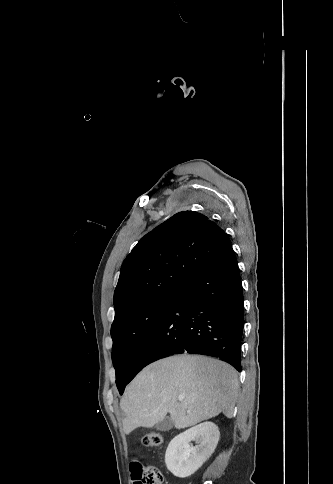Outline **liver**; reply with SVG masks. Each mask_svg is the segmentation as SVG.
I'll return each instance as SVG.
<instances>
[{
	"label": "liver",
	"instance_id": "obj_1",
	"mask_svg": "<svg viewBox=\"0 0 333 484\" xmlns=\"http://www.w3.org/2000/svg\"><path fill=\"white\" fill-rule=\"evenodd\" d=\"M237 393V371L220 360L185 354L156 361L131 381L120 401L124 433L151 428L167 413L176 429L221 412L232 418Z\"/></svg>",
	"mask_w": 333,
	"mask_h": 484
}]
</instances>
